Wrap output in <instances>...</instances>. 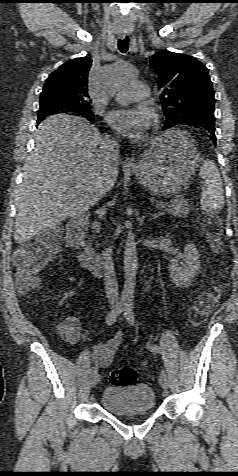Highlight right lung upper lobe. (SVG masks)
I'll return each mask as SVG.
<instances>
[{
  "mask_svg": "<svg viewBox=\"0 0 238 476\" xmlns=\"http://www.w3.org/2000/svg\"><path fill=\"white\" fill-rule=\"evenodd\" d=\"M91 64L89 57H82L61 65L47 78L40 102H55L69 109L90 106L88 72Z\"/></svg>",
  "mask_w": 238,
  "mask_h": 476,
  "instance_id": "cb5924a9",
  "label": "right lung upper lobe"
}]
</instances>
